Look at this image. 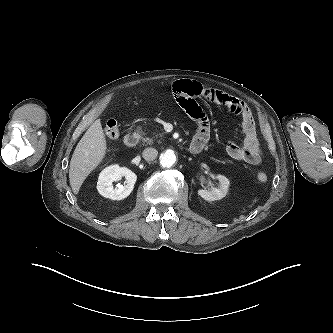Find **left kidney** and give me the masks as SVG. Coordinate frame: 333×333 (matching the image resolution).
<instances>
[{
  "instance_id": "1",
  "label": "left kidney",
  "mask_w": 333,
  "mask_h": 333,
  "mask_svg": "<svg viewBox=\"0 0 333 333\" xmlns=\"http://www.w3.org/2000/svg\"><path fill=\"white\" fill-rule=\"evenodd\" d=\"M216 178L219 180V187L210 190H198V194L206 201L221 200L228 192L230 181L223 175L218 174Z\"/></svg>"
}]
</instances>
